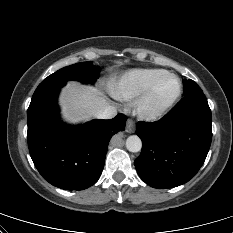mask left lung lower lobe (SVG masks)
<instances>
[{
  "label": "left lung lower lobe",
  "mask_w": 233,
  "mask_h": 233,
  "mask_svg": "<svg viewBox=\"0 0 233 233\" xmlns=\"http://www.w3.org/2000/svg\"><path fill=\"white\" fill-rule=\"evenodd\" d=\"M140 178L154 188L188 182L203 165L212 139L211 110L204 94L186 96L159 121L138 122Z\"/></svg>",
  "instance_id": "obj_1"
}]
</instances>
